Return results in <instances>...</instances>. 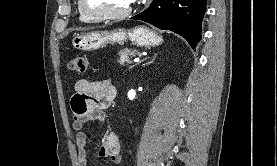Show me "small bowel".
Returning a JSON list of instances; mask_svg holds the SVG:
<instances>
[{"label": "small bowel", "mask_w": 277, "mask_h": 166, "mask_svg": "<svg viewBox=\"0 0 277 166\" xmlns=\"http://www.w3.org/2000/svg\"><path fill=\"white\" fill-rule=\"evenodd\" d=\"M74 95L71 98V109L73 113L72 127L76 130V145L78 147L79 166H90L86 152L87 134L84 128L92 121H103L105 109L113 103L116 95L115 88L105 82L78 80L74 85ZM120 141L117 134L107 128L102 137L98 156L108 158L112 166L121 161Z\"/></svg>", "instance_id": "1"}]
</instances>
